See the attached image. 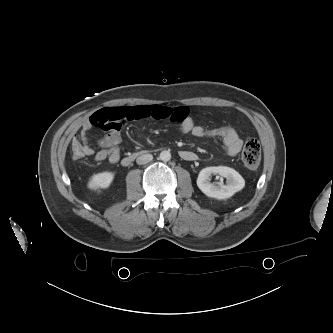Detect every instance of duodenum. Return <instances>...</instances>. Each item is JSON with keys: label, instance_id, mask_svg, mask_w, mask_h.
Instances as JSON below:
<instances>
[{"label": "duodenum", "instance_id": "obj_1", "mask_svg": "<svg viewBox=\"0 0 333 333\" xmlns=\"http://www.w3.org/2000/svg\"><path fill=\"white\" fill-rule=\"evenodd\" d=\"M147 153V151L141 150V151H136V152H132L131 154L125 156L122 159V165L123 166H129L132 162H134V160L140 156Z\"/></svg>", "mask_w": 333, "mask_h": 333}]
</instances>
